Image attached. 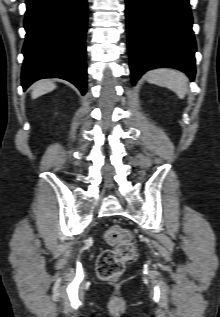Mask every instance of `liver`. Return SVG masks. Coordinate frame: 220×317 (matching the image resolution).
<instances>
[{
  "label": "liver",
  "mask_w": 220,
  "mask_h": 317,
  "mask_svg": "<svg viewBox=\"0 0 220 317\" xmlns=\"http://www.w3.org/2000/svg\"><path fill=\"white\" fill-rule=\"evenodd\" d=\"M56 85L51 80H43L35 83L32 88V99H36L46 93L53 91Z\"/></svg>",
  "instance_id": "liver-1"
}]
</instances>
